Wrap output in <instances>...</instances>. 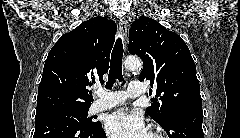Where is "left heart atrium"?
Returning a JSON list of instances; mask_svg holds the SVG:
<instances>
[{"mask_svg":"<svg viewBox=\"0 0 240 138\" xmlns=\"http://www.w3.org/2000/svg\"><path fill=\"white\" fill-rule=\"evenodd\" d=\"M105 128L112 138H149L151 135L142 116L126 108L113 112L107 118Z\"/></svg>","mask_w":240,"mask_h":138,"instance_id":"left-heart-atrium-1","label":"left heart atrium"}]
</instances>
